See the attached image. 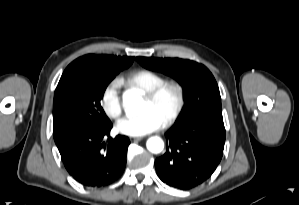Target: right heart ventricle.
Segmentation results:
<instances>
[{"label":"right heart ventricle","instance_id":"1","mask_svg":"<svg viewBox=\"0 0 299 205\" xmlns=\"http://www.w3.org/2000/svg\"><path fill=\"white\" fill-rule=\"evenodd\" d=\"M163 81H165L163 76L148 69L133 71L120 80L128 88L136 89L141 93L153 89Z\"/></svg>","mask_w":299,"mask_h":205}]
</instances>
